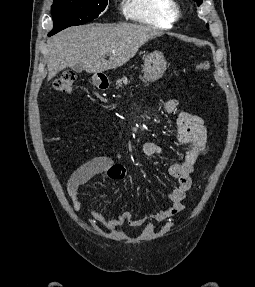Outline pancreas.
<instances>
[{
    "label": "pancreas",
    "mask_w": 255,
    "mask_h": 287,
    "mask_svg": "<svg viewBox=\"0 0 255 287\" xmlns=\"http://www.w3.org/2000/svg\"><path fill=\"white\" fill-rule=\"evenodd\" d=\"M123 84H130L128 78H121V80H117L116 82V88H123Z\"/></svg>",
    "instance_id": "obj_1"
}]
</instances>
